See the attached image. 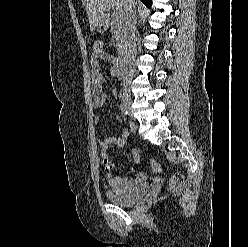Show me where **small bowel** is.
<instances>
[{"instance_id": "c3829d8e", "label": "small bowel", "mask_w": 248, "mask_h": 247, "mask_svg": "<svg viewBox=\"0 0 248 247\" xmlns=\"http://www.w3.org/2000/svg\"><path fill=\"white\" fill-rule=\"evenodd\" d=\"M100 61H106L112 64L111 74L116 75L118 73L116 58L104 51L94 52L91 56L90 69H91V90L93 95L92 106L94 109L102 107L106 101V93L103 89L104 76L100 71ZM96 125L100 124L101 117L96 116L94 118ZM128 136V131L123 130L121 133L114 137H108L100 140L99 146L102 151V158L104 162V168L108 173L110 181H114L118 189H126L132 186L139 185L146 181L147 175L145 172H139L133 179H127L123 177H113L111 172L114 168L113 163L109 160L107 151L111 148H121L124 146Z\"/></svg>"}]
</instances>
